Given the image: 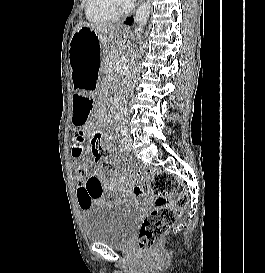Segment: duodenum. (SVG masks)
Returning a JSON list of instances; mask_svg holds the SVG:
<instances>
[{
	"label": "duodenum",
	"mask_w": 265,
	"mask_h": 273,
	"mask_svg": "<svg viewBox=\"0 0 265 273\" xmlns=\"http://www.w3.org/2000/svg\"><path fill=\"white\" fill-rule=\"evenodd\" d=\"M117 117H118V118H119V117H121V114H120V113H118V114H117Z\"/></svg>",
	"instance_id": "duodenum-1"
}]
</instances>
